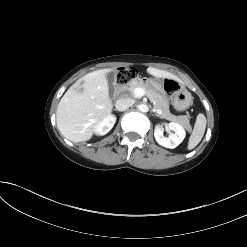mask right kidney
<instances>
[{
    "mask_svg": "<svg viewBox=\"0 0 247 247\" xmlns=\"http://www.w3.org/2000/svg\"><path fill=\"white\" fill-rule=\"evenodd\" d=\"M116 122V117L114 115H109L99 121L95 127V133L97 135H105L107 134L114 126Z\"/></svg>",
    "mask_w": 247,
    "mask_h": 247,
    "instance_id": "right-kidney-1",
    "label": "right kidney"
}]
</instances>
